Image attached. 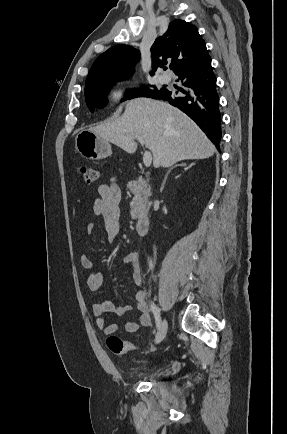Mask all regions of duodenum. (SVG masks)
I'll return each instance as SVG.
<instances>
[{"label":"duodenum","instance_id":"obj_1","mask_svg":"<svg viewBox=\"0 0 287 434\" xmlns=\"http://www.w3.org/2000/svg\"><path fill=\"white\" fill-rule=\"evenodd\" d=\"M150 219L147 216H141L137 220L136 230L139 236H145L148 233Z\"/></svg>","mask_w":287,"mask_h":434}]
</instances>
